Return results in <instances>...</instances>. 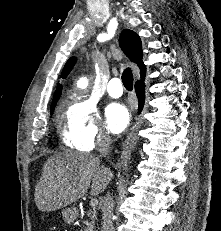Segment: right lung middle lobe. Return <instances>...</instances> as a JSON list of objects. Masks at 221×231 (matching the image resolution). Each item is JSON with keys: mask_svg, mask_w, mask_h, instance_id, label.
I'll list each match as a JSON object with an SVG mask.
<instances>
[{"mask_svg": "<svg viewBox=\"0 0 221 231\" xmlns=\"http://www.w3.org/2000/svg\"><path fill=\"white\" fill-rule=\"evenodd\" d=\"M54 108H55V106H52V107H51V113L53 112Z\"/></svg>", "mask_w": 221, "mask_h": 231, "instance_id": "right-lung-middle-lobe-1", "label": "right lung middle lobe"}]
</instances>
